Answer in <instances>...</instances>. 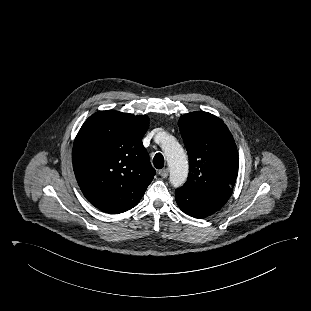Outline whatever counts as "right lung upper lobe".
I'll return each mask as SVG.
<instances>
[{
  "label": "right lung upper lobe",
  "mask_w": 311,
  "mask_h": 311,
  "mask_svg": "<svg viewBox=\"0 0 311 311\" xmlns=\"http://www.w3.org/2000/svg\"><path fill=\"white\" fill-rule=\"evenodd\" d=\"M146 115L98 111L80 128L73 145V169L86 199L99 210L119 214L136 206L151 183L142 138Z\"/></svg>",
  "instance_id": "cb5924a9"
}]
</instances>
